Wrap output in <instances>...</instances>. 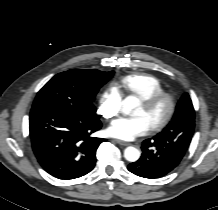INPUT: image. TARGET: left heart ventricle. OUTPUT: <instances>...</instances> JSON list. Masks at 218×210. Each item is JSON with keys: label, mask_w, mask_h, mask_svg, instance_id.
<instances>
[{"label": "left heart ventricle", "mask_w": 218, "mask_h": 210, "mask_svg": "<svg viewBox=\"0 0 218 210\" xmlns=\"http://www.w3.org/2000/svg\"><path fill=\"white\" fill-rule=\"evenodd\" d=\"M166 111L167 105L165 103H160L150 110L146 109L141 104L135 116L144 117L151 127L153 124L159 122L165 116Z\"/></svg>", "instance_id": "left-heart-ventricle-1"}]
</instances>
